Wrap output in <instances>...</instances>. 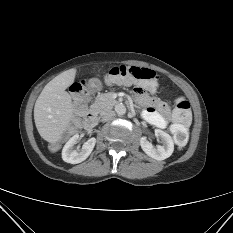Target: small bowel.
Listing matches in <instances>:
<instances>
[{"label": "small bowel", "instance_id": "obj_1", "mask_svg": "<svg viewBox=\"0 0 233 233\" xmlns=\"http://www.w3.org/2000/svg\"><path fill=\"white\" fill-rule=\"evenodd\" d=\"M138 99L146 104L147 108L143 113L144 118L158 128H166L169 124V108L163 102L148 96L140 87L136 88Z\"/></svg>", "mask_w": 233, "mask_h": 233}]
</instances>
